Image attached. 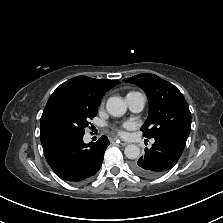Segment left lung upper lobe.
Instances as JSON below:
<instances>
[{
	"instance_id": "1",
	"label": "left lung upper lobe",
	"mask_w": 223,
	"mask_h": 223,
	"mask_svg": "<svg viewBox=\"0 0 223 223\" xmlns=\"http://www.w3.org/2000/svg\"><path fill=\"white\" fill-rule=\"evenodd\" d=\"M125 82L141 87L149 99V116L141 130L146 138L175 134L187 139L191 130L188 104L173 84L149 73H142Z\"/></svg>"
}]
</instances>
